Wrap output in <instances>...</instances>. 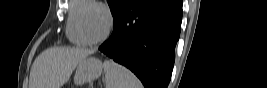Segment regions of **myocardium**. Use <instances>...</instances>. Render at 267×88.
I'll list each match as a JSON object with an SVG mask.
<instances>
[{
	"label": "myocardium",
	"instance_id": "obj_1",
	"mask_svg": "<svg viewBox=\"0 0 267 88\" xmlns=\"http://www.w3.org/2000/svg\"><path fill=\"white\" fill-rule=\"evenodd\" d=\"M91 8L101 9L107 17L106 31L99 39H96V40L89 39L88 36L86 35L84 27H83L84 15H85L86 11L91 9ZM113 23H114V19H113V15H112L110 8L101 2H95L94 1L89 7L85 8L81 12V14L78 17L77 25H78V30H79L80 36L86 42V44L97 45V44H101L102 42H104L108 38V36L110 35V33L112 31Z\"/></svg>",
	"mask_w": 267,
	"mask_h": 88
}]
</instances>
